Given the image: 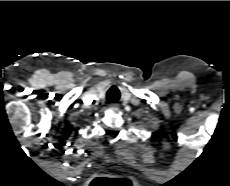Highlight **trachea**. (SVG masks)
I'll return each instance as SVG.
<instances>
[{
    "instance_id": "obj_1",
    "label": "trachea",
    "mask_w": 230,
    "mask_h": 186,
    "mask_svg": "<svg viewBox=\"0 0 230 186\" xmlns=\"http://www.w3.org/2000/svg\"><path fill=\"white\" fill-rule=\"evenodd\" d=\"M106 98L108 102H117L120 98V92L116 86H112L108 91Z\"/></svg>"
}]
</instances>
